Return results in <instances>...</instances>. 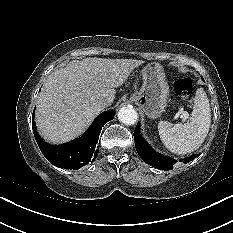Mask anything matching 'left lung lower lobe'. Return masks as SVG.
<instances>
[{"label": "left lung lower lobe", "mask_w": 233, "mask_h": 233, "mask_svg": "<svg viewBox=\"0 0 233 233\" xmlns=\"http://www.w3.org/2000/svg\"><path fill=\"white\" fill-rule=\"evenodd\" d=\"M134 141H135V147L136 150L141 157V159L155 167L161 170H171L173 168V165L177 162L175 159L170 158L168 156H163L157 152H155L148 144L147 142L141 137L140 135V127L139 124H137L136 129L134 131ZM198 155H193L189 158L183 159L184 163H188L192 161L194 158H196Z\"/></svg>", "instance_id": "1"}]
</instances>
